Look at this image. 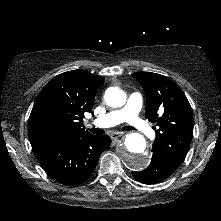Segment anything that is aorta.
Instances as JSON below:
<instances>
[{
    "label": "aorta",
    "instance_id": "762f6f07",
    "mask_svg": "<svg viewBox=\"0 0 221 221\" xmlns=\"http://www.w3.org/2000/svg\"><path fill=\"white\" fill-rule=\"evenodd\" d=\"M105 101L110 107H121L126 102V94L117 87H110L105 92ZM118 156L127 168L142 170L149 161L145 138L139 133L127 134Z\"/></svg>",
    "mask_w": 221,
    "mask_h": 221
}]
</instances>
